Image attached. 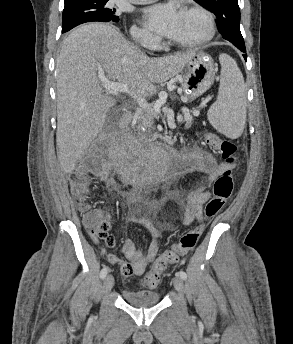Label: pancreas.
Listing matches in <instances>:
<instances>
[{
  "mask_svg": "<svg viewBox=\"0 0 293 344\" xmlns=\"http://www.w3.org/2000/svg\"><path fill=\"white\" fill-rule=\"evenodd\" d=\"M173 98H176V95L171 94ZM154 114H142L138 118V123H139V128L144 127L145 129H148L149 126H151L154 123ZM185 128H190L191 127V120L185 119Z\"/></svg>",
  "mask_w": 293,
  "mask_h": 344,
  "instance_id": "pancreas-1",
  "label": "pancreas"
}]
</instances>
